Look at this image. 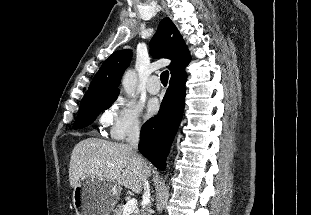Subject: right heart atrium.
Returning a JSON list of instances; mask_svg holds the SVG:
<instances>
[{"label": "right heart atrium", "instance_id": "d8ad5b80", "mask_svg": "<svg viewBox=\"0 0 311 215\" xmlns=\"http://www.w3.org/2000/svg\"><path fill=\"white\" fill-rule=\"evenodd\" d=\"M100 123L108 129V136L113 140L136 138L143 127L141 107L129 98L118 97L103 113Z\"/></svg>", "mask_w": 311, "mask_h": 215}]
</instances>
